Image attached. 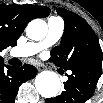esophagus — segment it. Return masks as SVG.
<instances>
[{
    "label": "esophagus",
    "mask_w": 103,
    "mask_h": 103,
    "mask_svg": "<svg viewBox=\"0 0 103 103\" xmlns=\"http://www.w3.org/2000/svg\"><path fill=\"white\" fill-rule=\"evenodd\" d=\"M35 67L38 71L43 70V66L41 64H36Z\"/></svg>",
    "instance_id": "34e87169"
}]
</instances>
